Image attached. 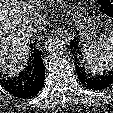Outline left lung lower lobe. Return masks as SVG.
<instances>
[{
  "label": "left lung lower lobe",
  "mask_w": 113,
  "mask_h": 113,
  "mask_svg": "<svg viewBox=\"0 0 113 113\" xmlns=\"http://www.w3.org/2000/svg\"><path fill=\"white\" fill-rule=\"evenodd\" d=\"M78 40L79 38L75 37V39L70 42V48L73 51V56L75 54V50L77 49ZM75 68L80 82L89 89L102 90L113 84V72H109L107 75L104 74L94 76L84 71L83 67L80 66V63L77 61V58L75 62Z\"/></svg>",
  "instance_id": "left-lung-lower-lobe-1"
}]
</instances>
